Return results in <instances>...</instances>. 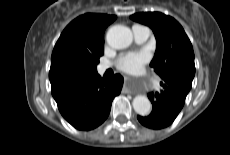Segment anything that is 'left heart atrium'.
<instances>
[{
    "label": "left heart atrium",
    "mask_w": 230,
    "mask_h": 155,
    "mask_svg": "<svg viewBox=\"0 0 230 155\" xmlns=\"http://www.w3.org/2000/svg\"><path fill=\"white\" fill-rule=\"evenodd\" d=\"M148 60L149 55L144 51L128 52L118 58L116 66L121 71L133 73L139 71Z\"/></svg>",
    "instance_id": "obj_1"
}]
</instances>
